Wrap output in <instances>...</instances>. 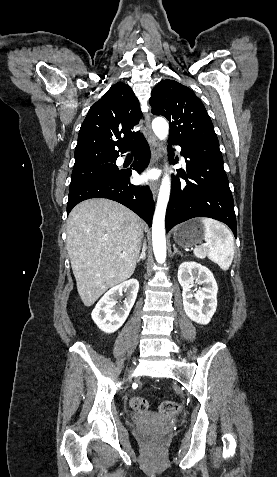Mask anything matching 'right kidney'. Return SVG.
Returning <instances> with one entry per match:
<instances>
[{"instance_id":"ca27d5eb","label":"right kidney","mask_w":277,"mask_h":477,"mask_svg":"<svg viewBox=\"0 0 277 477\" xmlns=\"http://www.w3.org/2000/svg\"><path fill=\"white\" fill-rule=\"evenodd\" d=\"M138 289V280L132 278L105 293L91 313L93 321L101 331L113 333L123 325L135 303ZM123 292L126 294L124 303L117 306V300Z\"/></svg>"}]
</instances>
